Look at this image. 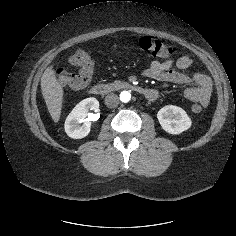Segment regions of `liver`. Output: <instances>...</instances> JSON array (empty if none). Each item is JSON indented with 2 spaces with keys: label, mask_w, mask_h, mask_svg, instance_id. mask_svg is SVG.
Returning a JSON list of instances; mask_svg holds the SVG:
<instances>
[{
  "label": "liver",
  "mask_w": 236,
  "mask_h": 236,
  "mask_svg": "<svg viewBox=\"0 0 236 236\" xmlns=\"http://www.w3.org/2000/svg\"><path fill=\"white\" fill-rule=\"evenodd\" d=\"M41 90L52 120L58 123L63 103V86L57 79L53 66L48 67L41 77Z\"/></svg>",
  "instance_id": "obj_1"
}]
</instances>
